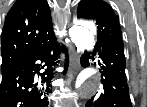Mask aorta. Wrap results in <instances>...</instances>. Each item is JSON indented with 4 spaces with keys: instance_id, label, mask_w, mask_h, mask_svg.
<instances>
[{
    "instance_id": "1",
    "label": "aorta",
    "mask_w": 147,
    "mask_h": 107,
    "mask_svg": "<svg viewBox=\"0 0 147 107\" xmlns=\"http://www.w3.org/2000/svg\"><path fill=\"white\" fill-rule=\"evenodd\" d=\"M94 31L93 23H81L69 29V36L78 50H92L95 45ZM76 86L80 97H91L100 88V76L90 69H84L77 77Z\"/></svg>"
}]
</instances>
